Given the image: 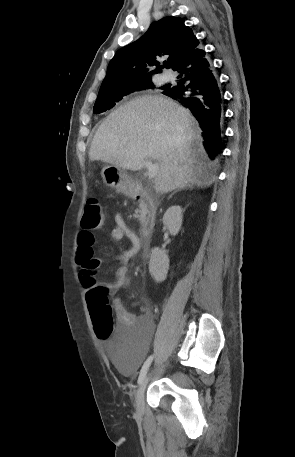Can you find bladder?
Wrapping results in <instances>:
<instances>
[{
    "label": "bladder",
    "mask_w": 295,
    "mask_h": 457,
    "mask_svg": "<svg viewBox=\"0 0 295 457\" xmlns=\"http://www.w3.org/2000/svg\"><path fill=\"white\" fill-rule=\"evenodd\" d=\"M149 338H107V347L115 367L122 372L133 371L137 365H144L148 356Z\"/></svg>",
    "instance_id": "31cf9c89"
}]
</instances>
